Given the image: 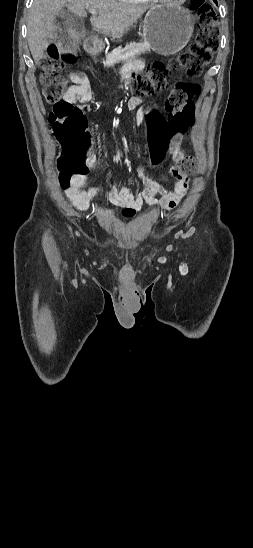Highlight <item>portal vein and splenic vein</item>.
Returning <instances> with one entry per match:
<instances>
[{"mask_svg":"<svg viewBox=\"0 0 253 548\" xmlns=\"http://www.w3.org/2000/svg\"><path fill=\"white\" fill-rule=\"evenodd\" d=\"M89 12H90L92 15H96V14H97V11H96V10H93V9L89 10Z\"/></svg>","mask_w":253,"mask_h":548,"instance_id":"obj_1","label":"portal vein and splenic vein"}]
</instances>
